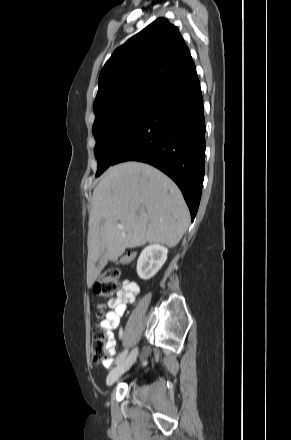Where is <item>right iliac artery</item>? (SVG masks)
Returning a JSON list of instances; mask_svg holds the SVG:
<instances>
[{
    "label": "right iliac artery",
    "instance_id": "82829eb1",
    "mask_svg": "<svg viewBox=\"0 0 291 440\" xmlns=\"http://www.w3.org/2000/svg\"><path fill=\"white\" fill-rule=\"evenodd\" d=\"M127 353H128L127 350L121 352V353L117 356L116 361H115V364H119V363H121V362L125 359Z\"/></svg>",
    "mask_w": 291,
    "mask_h": 440
}]
</instances>
